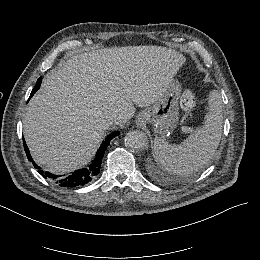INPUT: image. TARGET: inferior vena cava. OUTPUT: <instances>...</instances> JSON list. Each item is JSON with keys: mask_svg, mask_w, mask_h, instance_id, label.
<instances>
[{"mask_svg": "<svg viewBox=\"0 0 260 260\" xmlns=\"http://www.w3.org/2000/svg\"><path fill=\"white\" fill-rule=\"evenodd\" d=\"M113 123H117V124L119 123L118 115H116L114 113H109L108 115H106V117L104 119V126L109 127Z\"/></svg>", "mask_w": 260, "mask_h": 260, "instance_id": "602c4592", "label": "inferior vena cava"}]
</instances>
